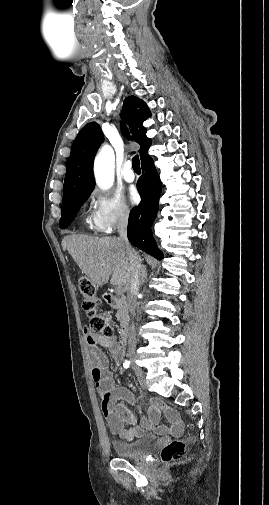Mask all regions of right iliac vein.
I'll use <instances>...</instances> for the list:
<instances>
[{"label": "right iliac vein", "mask_w": 269, "mask_h": 505, "mask_svg": "<svg viewBox=\"0 0 269 505\" xmlns=\"http://www.w3.org/2000/svg\"><path fill=\"white\" fill-rule=\"evenodd\" d=\"M130 361L132 363V365L135 367L134 371L136 373V375L138 376V379H139V382H140V385L142 387H144V389H147V382H146V376L143 374V371L141 368H139L136 364H135V361H136V358L135 357H131L130 358Z\"/></svg>", "instance_id": "right-iliac-vein-1"}]
</instances>
